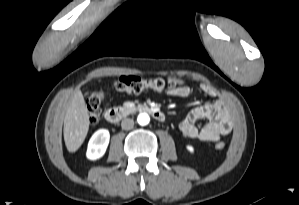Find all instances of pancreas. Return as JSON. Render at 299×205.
Instances as JSON below:
<instances>
[{
	"instance_id": "obj_1",
	"label": "pancreas",
	"mask_w": 299,
	"mask_h": 205,
	"mask_svg": "<svg viewBox=\"0 0 299 205\" xmlns=\"http://www.w3.org/2000/svg\"><path fill=\"white\" fill-rule=\"evenodd\" d=\"M124 108H134L135 107V103L127 101L123 103Z\"/></svg>"
}]
</instances>
